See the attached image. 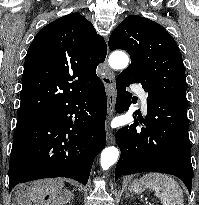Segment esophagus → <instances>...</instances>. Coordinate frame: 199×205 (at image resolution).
<instances>
[{
	"instance_id": "obj_1",
	"label": "esophagus",
	"mask_w": 199,
	"mask_h": 205,
	"mask_svg": "<svg viewBox=\"0 0 199 205\" xmlns=\"http://www.w3.org/2000/svg\"><path fill=\"white\" fill-rule=\"evenodd\" d=\"M105 73L102 77V81L105 86L107 99H108V119L110 120L115 111V100H116V94L114 90V73L113 71L108 67L107 61L104 63ZM107 143L108 144H115V136L113 132L108 129L107 131Z\"/></svg>"
}]
</instances>
